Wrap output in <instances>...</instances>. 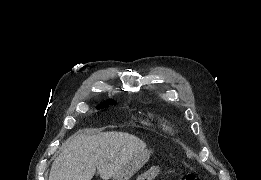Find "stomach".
<instances>
[{
	"instance_id": "1",
	"label": "stomach",
	"mask_w": 261,
	"mask_h": 180,
	"mask_svg": "<svg viewBox=\"0 0 261 180\" xmlns=\"http://www.w3.org/2000/svg\"><path fill=\"white\" fill-rule=\"evenodd\" d=\"M150 158V151L143 150L133 155L128 162L113 176L112 180L130 179Z\"/></svg>"
}]
</instances>
